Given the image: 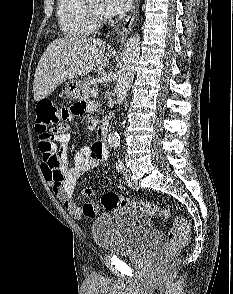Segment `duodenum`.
<instances>
[{
  "label": "duodenum",
  "mask_w": 233,
  "mask_h": 294,
  "mask_svg": "<svg viewBox=\"0 0 233 294\" xmlns=\"http://www.w3.org/2000/svg\"><path fill=\"white\" fill-rule=\"evenodd\" d=\"M109 136V126L107 122L102 121L97 128V139L101 144H106Z\"/></svg>",
  "instance_id": "obj_1"
}]
</instances>
